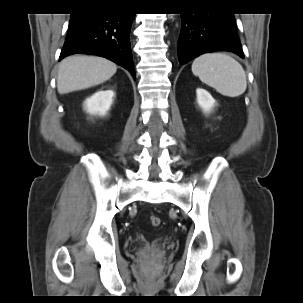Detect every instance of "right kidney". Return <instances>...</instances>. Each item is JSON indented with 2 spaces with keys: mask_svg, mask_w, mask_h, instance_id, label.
<instances>
[{
  "mask_svg": "<svg viewBox=\"0 0 303 303\" xmlns=\"http://www.w3.org/2000/svg\"><path fill=\"white\" fill-rule=\"evenodd\" d=\"M115 93L113 90H100L87 98L84 108L90 115L105 116L110 109Z\"/></svg>",
  "mask_w": 303,
  "mask_h": 303,
  "instance_id": "1",
  "label": "right kidney"
}]
</instances>
